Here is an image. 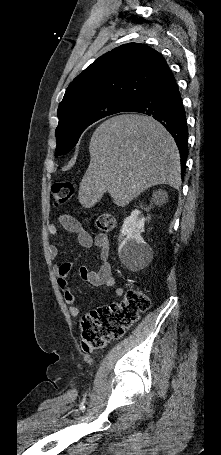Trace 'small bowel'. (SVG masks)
Segmentation results:
<instances>
[{
    "mask_svg": "<svg viewBox=\"0 0 221 455\" xmlns=\"http://www.w3.org/2000/svg\"><path fill=\"white\" fill-rule=\"evenodd\" d=\"M60 222L66 230L77 236L80 246L83 248H90L94 244L98 249V268L90 270L85 266H79L78 269L80 277L92 286L105 285L107 287L114 288L115 297H123L124 290L122 287L117 286L116 280L112 274L111 263L109 260L110 240L108 236L105 234H97L95 237H92L81 222L72 216H62ZM48 232L51 236H57L59 230L56 225H50ZM49 254L52 259H57L60 254V250L56 245H51L49 247ZM76 266L77 265L74 262H63L54 269L57 276L58 286L64 293L69 313L72 316H79L81 314V309L76 304V297L68 284L69 272Z\"/></svg>",
    "mask_w": 221,
    "mask_h": 455,
    "instance_id": "1",
    "label": "small bowel"
}]
</instances>
